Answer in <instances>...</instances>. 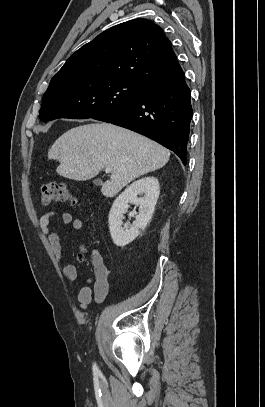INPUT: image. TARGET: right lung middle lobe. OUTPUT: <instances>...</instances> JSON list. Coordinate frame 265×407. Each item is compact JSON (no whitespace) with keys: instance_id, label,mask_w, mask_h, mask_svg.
Segmentation results:
<instances>
[{"instance_id":"dd1d6c3e","label":"right lung middle lobe","mask_w":265,"mask_h":407,"mask_svg":"<svg viewBox=\"0 0 265 407\" xmlns=\"http://www.w3.org/2000/svg\"><path fill=\"white\" fill-rule=\"evenodd\" d=\"M146 87L130 80L99 76L50 82L39 118L44 122L57 118H95L134 103Z\"/></svg>"}]
</instances>
